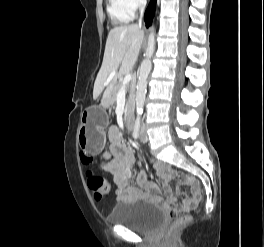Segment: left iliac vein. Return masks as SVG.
<instances>
[{
	"instance_id": "left-iliac-vein-1",
	"label": "left iliac vein",
	"mask_w": 264,
	"mask_h": 247,
	"mask_svg": "<svg viewBox=\"0 0 264 247\" xmlns=\"http://www.w3.org/2000/svg\"><path fill=\"white\" fill-rule=\"evenodd\" d=\"M140 141L142 143H146L148 141V137H147V134L145 132V128L143 127L142 130H141V134H140Z\"/></svg>"
}]
</instances>
